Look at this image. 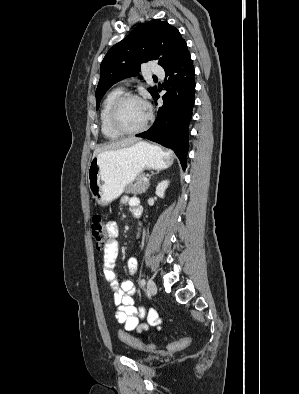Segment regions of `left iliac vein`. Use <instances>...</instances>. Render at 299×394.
<instances>
[{"mask_svg":"<svg viewBox=\"0 0 299 394\" xmlns=\"http://www.w3.org/2000/svg\"><path fill=\"white\" fill-rule=\"evenodd\" d=\"M147 292L151 295H154L157 292V286L152 279H150L147 283Z\"/></svg>","mask_w":299,"mask_h":394,"instance_id":"1","label":"left iliac vein"}]
</instances>
